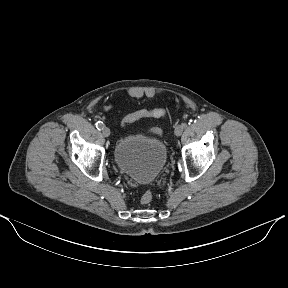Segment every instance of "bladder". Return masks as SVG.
Returning a JSON list of instances; mask_svg holds the SVG:
<instances>
[{"mask_svg":"<svg viewBox=\"0 0 288 288\" xmlns=\"http://www.w3.org/2000/svg\"><path fill=\"white\" fill-rule=\"evenodd\" d=\"M117 167L140 184L153 182L167 160L165 142L157 137L140 134L120 137L113 148Z\"/></svg>","mask_w":288,"mask_h":288,"instance_id":"obj_1","label":"bladder"}]
</instances>
